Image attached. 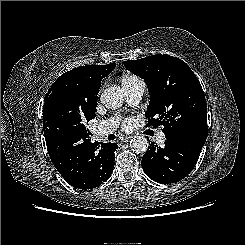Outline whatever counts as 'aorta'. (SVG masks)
<instances>
[{
    "instance_id": "1",
    "label": "aorta",
    "mask_w": 245,
    "mask_h": 245,
    "mask_svg": "<svg viewBox=\"0 0 245 245\" xmlns=\"http://www.w3.org/2000/svg\"><path fill=\"white\" fill-rule=\"evenodd\" d=\"M124 93L118 86L105 89L101 94L100 100L107 108L117 109L122 106ZM148 140L144 136H134L130 141V148L136 152H145L148 149Z\"/></svg>"
}]
</instances>
